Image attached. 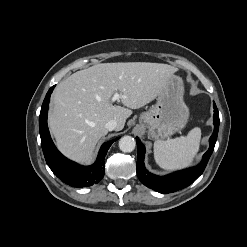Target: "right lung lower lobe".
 Masks as SVG:
<instances>
[{
	"mask_svg": "<svg viewBox=\"0 0 247 247\" xmlns=\"http://www.w3.org/2000/svg\"><path fill=\"white\" fill-rule=\"evenodd\" d=\"M54 87H51L46 94L39 117L41 145L45 160L52 172L72 187H87L97 184L104 176V157L112 143L117 139L106 142L101 146L97 160L91 166H81L64 157L52 142L47 126L48 105Z\"/></svg>",
	"mask_w": 247,
	"mask_h": 247,
	"instance_id": "obj_1",
	"label": "right lung lower lobe"
}]
</instances>
